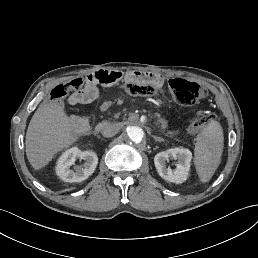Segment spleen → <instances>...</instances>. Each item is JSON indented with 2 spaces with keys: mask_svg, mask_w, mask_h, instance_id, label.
Segmentation results:
<instances>
[{
  "mask_svg": "<svg viewBox=\"0 0 258 258\" xmlns=\"http://www.w3.org/2000/svg\"><path fill=\"white\" fill-rule=\"evenodd\" d=\"M223 146V130L217 121H211L197 135L194 164L201 182H208L214 175L221 162Z\"/></svg>",
  "mask_w": 258,
  "mask_h": 258,
  "instance_id": "obj_1",
  "label": "spleen"
}]
</instances>
